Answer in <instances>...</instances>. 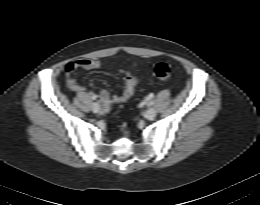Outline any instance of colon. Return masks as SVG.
<instances>
[{
	"instance_id": "colon-1",
	"label": "colon",
	"mask_w": 260,
	"mask_h": 205,
	"mask_svg": "<svg viewBox=\"0 0 260 205\" xmlns=\"http://www.w3.org/2000/svg\"><path fill=\"white\" fill-rule=\"evenodd\" d=\"M153 75L163 81H167L171 78L172 70L166 63H158L153 68Z\"/></svg>"
}]
</instances>
